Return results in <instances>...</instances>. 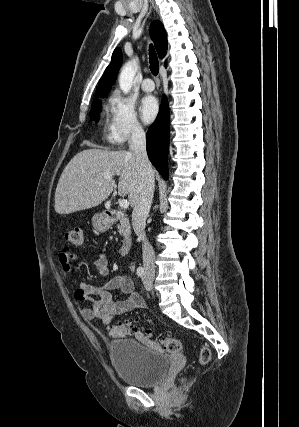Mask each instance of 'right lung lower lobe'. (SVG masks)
<instances>
[{
	"mask_svg": "<svg viewBox=\"0 0 299 427\" xmlns=\"http://www.w3.org/2000/svg\"><path fill=\"white\" fill-rule=\"evenodd\" d=\"M169 131V111L167 104L164 103L155 122L150 126L146 135L148 157L164 179L168 177Z\"/></svg>",
	"mask_w": 299,
	"mask_h": 427,
	"instance_id": "1",
	"label": "right lung lower lobe"
}]
</instances>
